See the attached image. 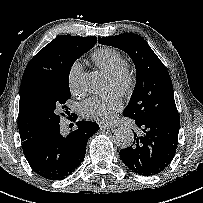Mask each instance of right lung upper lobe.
<instances>
[{"label": "right lung upper lobe", "instance_id": "obj_1", "mask_svg": "<svg viewBox=\"0 0 203 203\" xmlns=\"http://www.w3.org/2000/svg\"><path fill=\"white\" fill-rule=\"evenodd\" d=\"M96 37L58 36L41 49L27 64L20 87L18 126L21 141L39 137L51 129L36 115L29 100L32 80L50 70H53L65 55L76 50L93 47Z\"/></svg>", "mask_w": 203, "mask_h": 203}]
</instances>
